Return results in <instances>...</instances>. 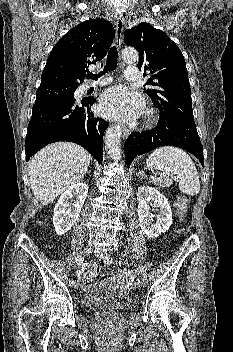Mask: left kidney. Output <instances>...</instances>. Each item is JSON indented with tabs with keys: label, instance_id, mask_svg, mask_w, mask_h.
Masks as SVG:
<instances>
[{
	"label": "left kidney",
	"instance_id": "1",
	"mask_svg": "<svg viewBox=\"0 0 233 352\" xmlns=\"http://www.w3.org/2000/svg\"><path fill=\"white\" fill-rule=\"evenodd\" d=\"M138 216L140 228L148 238H156L161 233H165L172 225V211L168 200L156 188L141 186L137 192ZM154 202V207H159L155 222L153 215L149 213V201Z\"/></svg>",
	"mask_w": 233,
	"mask_h": 352
}]
</instances>
